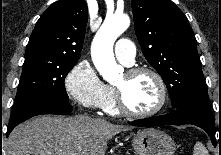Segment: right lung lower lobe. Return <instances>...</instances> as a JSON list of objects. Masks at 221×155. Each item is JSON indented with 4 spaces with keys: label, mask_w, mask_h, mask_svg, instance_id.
I'll list each match as a JSON object with an SVG mask.
<instances>
[{
    "label": "right lung lower lobe",
    "mask_w": 221,
    "mask_h": 155,
    "mask_svg": "<svg viewBox=\"0 0 221 155\" xmlns=\"http://www.w3.org/2000/svg\"><path fill=\"white\" fill-rule=\"evenodd\" d=\"M73 110L68 101H60L50 98H40L25 106L19 112L12 115L7 127L8 136L15 126L21 122L41 114L65 115Z\"/></svg>",
    "instance_id": "1"
}]
</instances>
